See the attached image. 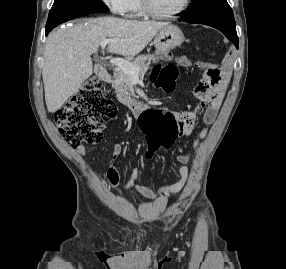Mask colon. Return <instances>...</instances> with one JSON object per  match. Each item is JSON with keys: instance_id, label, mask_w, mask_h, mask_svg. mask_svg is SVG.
Instances as JSON below:
<instances>
[{"instance_id": "colon-1", "label": "colon", "mask_w": 286, "mask_h": 269, "mask_svg": "<svg viewBox=\"0 0 286 269\" xmlns=\"http://www.w3.org/2000/svg\"><path fill=\"white\" fill-rule=\"evenodd\" d=\"M170 49H155V54L160 62H175ZM202 70V80L197 83V88H208L214 91L219 88L220 71L224 65H211L204 62L196 66ZM177 67L169 63L165 66H156L152 74V81L157 87L171 92L175 87ZM116 109L112 100L106 97L101 83L89 79L74 97L59 108L55 113V122L64 140L73 147L83 143L95 144L102 137L104 125L114 117ZM144 116H138L142 134L146 141L143 155H164V150L169 149L181 137L171 111H163L162 106H149L144 108Z\"/></svg>"}]
</instances>
